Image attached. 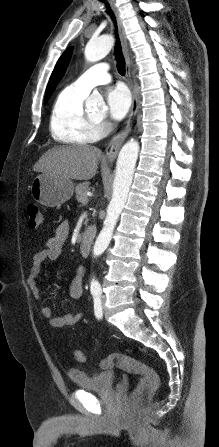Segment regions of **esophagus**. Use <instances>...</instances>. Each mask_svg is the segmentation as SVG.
<instances>
[{
	"label": "esophagus",
	"instance_id": "1",
	"mask_svg": "<svg viewBox=\"0 0 219 447\" xmlns=\"http://www.w3.org/2000/svg\"><path fill=\"white\" fill-rule=\"evenodd\" d=\"M111 4H112V8H113V11H114L116 19H117L118 31H119V36H120V40H121L122 50H123V54H124V57L126 60V76H127L128 85L132 92V106H131V110L128 115V118H127L126 122L124 123L123 127L111 139L110 143L108 144V146L106 148V157L108 158V160L110 162L115 160L124 140L130 133L132 123L134 121V118H135L137 110H138L137 90L135 88V85L133 83L132 76H131V64H130V57H129V53H128V43H127L124 26H123L122 19L120 17V14H119L117 8L114 6L113 3H111Z\"/></svg>",
	"mask_w": 219,
	"mask_h": 447
}]
</instances>
